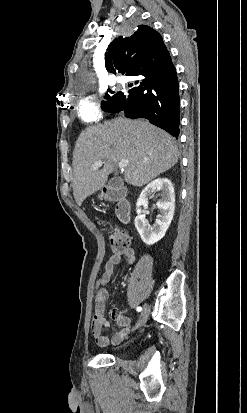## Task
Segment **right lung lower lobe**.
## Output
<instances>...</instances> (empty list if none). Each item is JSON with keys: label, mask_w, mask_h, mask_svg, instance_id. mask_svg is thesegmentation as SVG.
<instances>
[{"label": "right lung lower lobe", "mask_w": 247, "mask_h": 413, "mask_svg": "<svg viewBox=\"0 0 247 413\" xmlns=\"http://www.w3.org/2000/svg\"><path fill=\"white\" fill-rule=\"evenodd\" d=\"M135 77L138 86L128 92L116 93L106 111H123L131 119L146 118L178 138L180 100L178 79L172 61L150 73Z\"/></svg>", "instance_id": "right-lung-lower-lobe-1"}]
</instances>
